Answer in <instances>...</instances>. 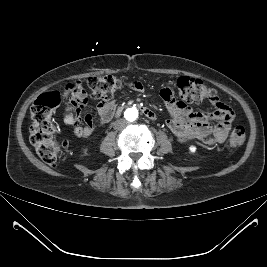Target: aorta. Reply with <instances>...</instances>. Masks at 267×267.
Segmentation results:
<instances>
[{
    "mask_svg": "<svg viewBox=\"0 0 267 267\" xmlns=\"http://www.w3.org/2000/svg\"><path fill=\"white\" fill-rule=\"evenodd\" d=\"M138 117H139V112H138V110L135 107L128 108L125 111V118L129 122H135V121H137Z\"/></svg>",
    "mask_w": 267,
    "mask_h": 267,
    "instance_id": "obj_1",
    "label": "aorta"
}]
</instances>
